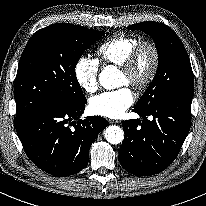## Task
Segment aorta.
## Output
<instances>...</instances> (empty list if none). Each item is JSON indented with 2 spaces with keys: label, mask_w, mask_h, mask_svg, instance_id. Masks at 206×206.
<instances>
[{
  "label": "aorta",
  "mask_w": 206,
  "mask_h": 206,
  "mask_svg": "<svg viewBox=\"0 0 206 206\" xmlns=\"http://www.w3.org/2000/svg\"><path fill=\"white\" fill-rule=\"evenodd\" d=\"M117 76V69L113 66L105 67L99 74V82L105 89H112L115 86V78ZM105 139L110 144H119L124 139L123 130L116 125H111L105 130Z\"/></svg>",
  "instance_id": "obj_1"
}]
</instances>
